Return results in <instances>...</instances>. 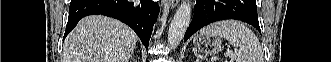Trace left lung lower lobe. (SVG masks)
Masks as SVG:
<instances>
[{"instance_id":"left-lung-lower-lobe-1","label":"left lung lower lobe","mask_w":331,"mask_h":62,"mask_svg":"<svg viewBox=\"0 0 331 62\" xmlns=\"http://www.w3.org/2000/svg\"><path fill=\"white\" fill-rule=\"evenodd\" d=\"M226 19L240 20L260 30L255 0H197L184 41L204 26Z\"/></svg>"}]
</instances>
